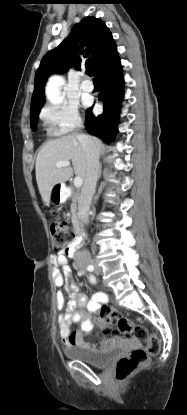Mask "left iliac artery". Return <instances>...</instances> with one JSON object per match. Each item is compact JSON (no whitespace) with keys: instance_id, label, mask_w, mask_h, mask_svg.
<instances>
[{"instance_id":"44dca946","label":"left iliac artery","mask_w":187,"mask_h":415,"mask_svg":"<svg viewBox=\"0 0 187 415\" xmlns=\"http://www.w3.org/2000/svg\"><path fill=\"white\" fill-rule=\"evenodd\" d=\"M91 282H95V278L94 277H90Z\"/></svg>"}]
</instances>
